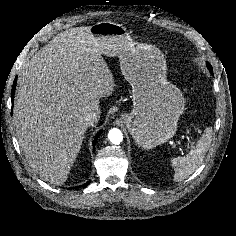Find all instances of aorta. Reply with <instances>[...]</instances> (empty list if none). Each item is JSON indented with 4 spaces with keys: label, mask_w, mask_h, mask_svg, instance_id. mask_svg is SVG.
I'll return each instance as SVG.
<instances>
[{
    "label": "aorta",
    "mask_w": 236,
    "mask_h": 236,
    "mask_svg": "<svg viewBox=\"0 0 236 236\" xmlns=\"http://www.w3.org/2000/svg\"><path fill=\"white\" fill-rule=\"evenodd\" d=\"M108 138L113 144L118 145L123 141V134L119 129L113 128L109 130Z\"/></svg>",
    "instance_id": "1"
}]
</instances>
